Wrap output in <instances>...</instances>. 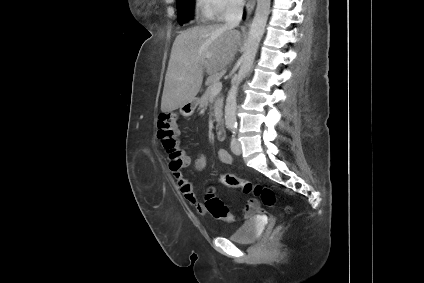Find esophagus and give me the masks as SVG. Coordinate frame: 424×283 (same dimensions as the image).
Segmentation results:
<instances>
[{
	"instance_id": "esophagus-1",
	"label": "esophagus",
	"mask_w": 424,
	"mask_h": 283,
	"mask_svg": "<svg viewBox=\"0 0 424 283\" xmlns=\"http://www.w3.org/2000/svg\"><path fill=\"white\" fill-rule=\"evenodd\" d=\"M255 4H256V0H248L247 1L246 10H247V15L248 16L252 13V11H253V9L255 7Z\"/></svg>"
}]
</instances>
